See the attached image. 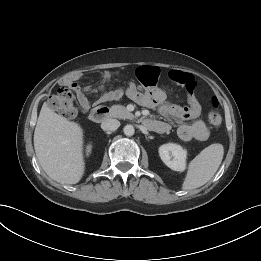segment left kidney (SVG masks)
Masks as SVG:
<instances>
[{
	"mask_svg": "<svg viewBox=\"0 0 261 261\" xmlns=\"http://www.w3.org/2000/svg\"><path fill=\"white\" fill-rule=\"evenodd\" d=\"M161 160L172 170L183 172L186 169L187 151L175 143L159 147Z\"/></svg>",
	"mask_w": 261,
	"mask_h": 261,
	"instance_id": "obj_1",
	"label": "left kidney"
}]
</instances>
